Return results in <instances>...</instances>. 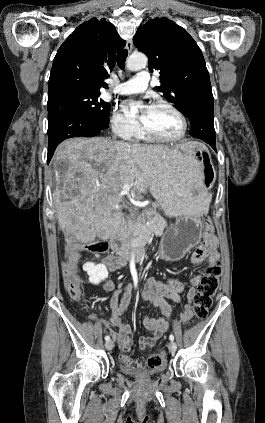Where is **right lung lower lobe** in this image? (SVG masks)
I'll use <instances>...</instances> for the list:
<instances>
[{
	"label": "right lung lower lobe",
	"mask_w": 265,
	"mask_h": 423,
	"mask_svg": "<svg viewBox=\"0 0 265 423\" xmlns=\"http://www.w3.org/2000/svg\"><path fill=\"white\" fill-rule=\"evenodd\" d=\"M108 128V124L76 107L59 106L48 110L49 163L57 145L71 137H93Z\"/></svg>",
	"instance_id": "1"
}]
</instances>
